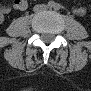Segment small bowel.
Here are the masks:
<instances>
[{
	"instance_id": "small-bowel-1",
	"label": "small bowel",
	"mask_w": 91,
	"mask_h": 91,
	"mask_svg": "<svg viewBox=\"0 0 91 91\" xmlns=\"http://www.w3.org/2000/svg\"><path fill=\"white\" fill-rule=\"evenodd\" d=\"M27 1L26 0H15L12 4V7L16 10H20L23 11L27 8ZM9 9L6 10V12H8ZM75 12L77 14H82L84 12V10L82 8H77L75 9Z\"/></svg>"
}]
</instances>
